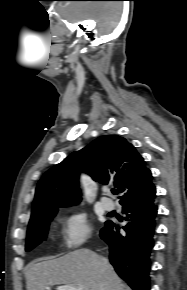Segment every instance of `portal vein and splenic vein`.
Returning <instances> with one entry per match:
<instances>
[{"label":"portal vein and splenic vein","instance_id":"obj_1","mask_svg":"<svg viewBox=\"0 0 187 290\" xmlns=\"http://www.w3.org/2000/svg\"><path fill=\"white\" fill-rule=\"evenodd\" d=\"M46 290H51V288L47 287ZM56 290H80V289H77L76 287L70 285H62L58 286Z\"/></svg>","mask_w":187,"mask_h":290}]
</instances>
